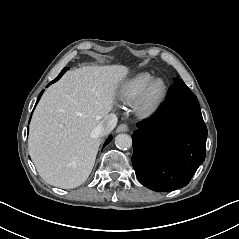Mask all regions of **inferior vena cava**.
Masks as SVG:
<instances>
[{
	"mask_svg": "<svg viewBox=\"0 0 239 239\" xmlns=\"http://www.w3.org/2000/svg\"><path fill=\"white\" fill-rule=\"evenodd\" d=\"M117 116L113 113L108 114L104 120H102V122L100 123V125L97 128V135L99 137H103L107 134H109L115 127L117 124Z\"/></svg>",
	"mask_w": 239,
	"mask_h": 239,
	"instance_id": "inferior-vena-cava-1",
	"label": "inferior vena cava"
}]
</instances>
